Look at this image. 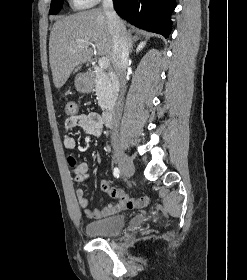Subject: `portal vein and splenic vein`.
<instances>
[{"label": "portal vein and splenic vein", "instance_id": "portal-vein-and-splenic-vein-1", "mask_svg": "<svg viewBox=\"0 0 247 280\" xmlns=\"http://www.w3.org/2000/svg\"><path fill=\"white\" fill-rule=\"evenodd\" d=\"M89 45H86V47H88ZM98 65L101 69H105L110 65L109 59L106 57H101L98 60Z\"/></svg>", "mask_w": 247, "mask_h": 280}]
</instances>
